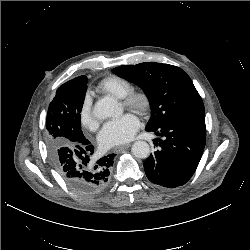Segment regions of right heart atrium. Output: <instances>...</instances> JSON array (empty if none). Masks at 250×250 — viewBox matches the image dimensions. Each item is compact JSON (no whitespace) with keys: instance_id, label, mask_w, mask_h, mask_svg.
<instances>
[{"instance_id":"1","label":"right heart atrium","mask_w":250,"mask_h":250,"mask_svg":"<svg viewBox=\"0 0 250 250\" xmlns=\"http://www.w3.org/2000/svg\"><path fill=\"white\" fill-rule=\"evenodd\" d=\"M80 122L83 127L91 131L95 130L98 126V121L95 119L91 110L90 97H86L83 101V104L80 110Z\"/></svg>"}]
</instances>
